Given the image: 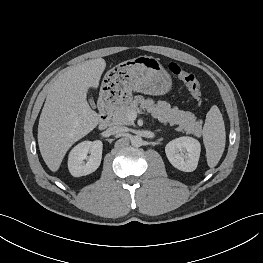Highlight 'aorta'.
Instances as JSON below:
<instances>
[{"instance_id":"aorta-1","label":"aorta","mask_w":263,"mask_h":263,"mask_svg":"<svg viewBox=\"0 0 263 263\" xmlns=\"http://www.w3.org/2000/svg\"><path fill=\"white\" fill-rule=\"evenodd\" d=\"M143 143V140L140 136H133L131 138V145L134 147H140Z\"/></svg>"}]
</instances>
